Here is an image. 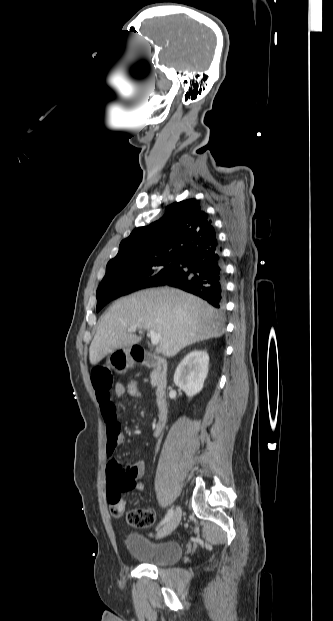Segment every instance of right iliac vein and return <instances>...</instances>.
Masks as SVG:
<instances>
[{"label":"right iliac vein","mask_w":333,"mask_h":621,"mask_svg":"<svg viewBox=\"0 0 333 621\" xmlns=\"http://www.w3.org/2000/svg\"><path fill=\"white\" fill-rule=\"evenodd\" d=\"M181 509L180 507H177L175 512L173 513V516L171 517V519L162 527L158 530L157 532V537H165L170 535L175 528L178 526L180 519H181Z\"/></svg>","instance_id":"63e3f726"}]
</instances>
